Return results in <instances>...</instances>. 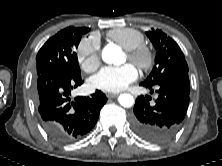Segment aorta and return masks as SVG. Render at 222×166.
Listing matches in <instances>:
<instances>
[{"label":"aorta","mask_w":222,"mask_h":166,"mask_svg":"<svg viewBox=\"0 0 222 166\" xmlns=\"http://www.w3.org/2000/svg\"><path fill=\"white\" fill-rule=\"evenodd\" d=\"M102 60L108 64L120 65L124 62L122 50L113 44L104 47L102 51ZM118 101L121 106L129 108L134 104V98L131 94L124 93L119 95Z\"/></svg>","instance_id":"aorta-1"}]
</instances>
